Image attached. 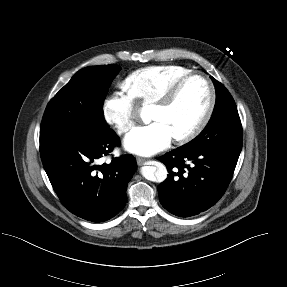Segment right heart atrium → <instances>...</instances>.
Listing matches in <instances>:
<instances>
[{
  "label": "right heart atrium",
  "mask_w": 287,
  "mask_h": 287,
  "mask_svg": "<svg viewBox=\"0 0 287 287\" xmlns=\"http://www.w3.org/2000/svg\"><path fill=\"white\" fill-rule=\"evenodd\" d=\"M102 116L118 134H125L133 127L137 109L135 98L126 86H121L104 100Z\"/></svg>",
  "instance_id": "d8ad5b80"
}]
</instances>
